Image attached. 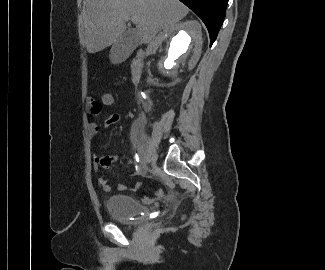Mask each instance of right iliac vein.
<instances>
[{
  "instance_id": "63e3f726",
  "label": "right iliac vein",
  "mask_w": 325,
  "mask_h": 270,
  "mask_svg": "<svg viewBox=\"0 0 325 270\" xmlns=\"http://www.w3.org/2000/svg\"><path fill=\"white\" fill-rule=\"evenodd\" d=\"M147 161L149 163H153V164L156 163V161H157V153H156L155 149L152 150L150 156L147 158Z\"/></svg>"
}]
</instances>
